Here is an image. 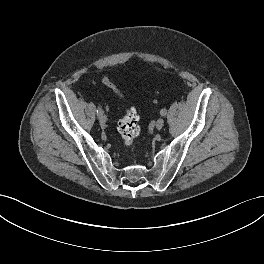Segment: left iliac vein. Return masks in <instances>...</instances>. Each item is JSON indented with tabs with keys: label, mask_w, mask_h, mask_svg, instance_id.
Listing matches in <instances>:
<instances>
[{
	"label": "left iliac vein",
	"mask_w": 264,
	"mask_h": 264,
	"mask_svg": "<svg viewBox=\"0 0 264 264\" xmlns=\"http://www.w3.org/2000/svg\"><path fill=\"white\" fill-rule=\"evenodd\" d=\"M156 129L160 130L162 129V127L164 126V120L163 118H159L157 121H156Z\"/></svg>",
	"instance_id": "left-iliac-vein-1"
}]
</instances>
